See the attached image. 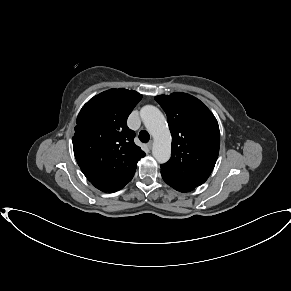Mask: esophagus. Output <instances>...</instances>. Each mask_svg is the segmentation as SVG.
I'll return each instance as SVG.
<instances>
[{
    "label": "esophagus",
    "mask_w": 291,
    "mask_h": 291,
    "mask_svg": "<svg viewBox=\"0 0 291 291\" xmlns=\"http://www.w3.org/2000/svg\"><path fill=\"white\" fill-rule=\"evenodd\" d=\"M152 146H153V141H149V142L147 143V147H148L149 149H151Z\"/></svg>",
    "instance_id": "1"
}]
</instances>
